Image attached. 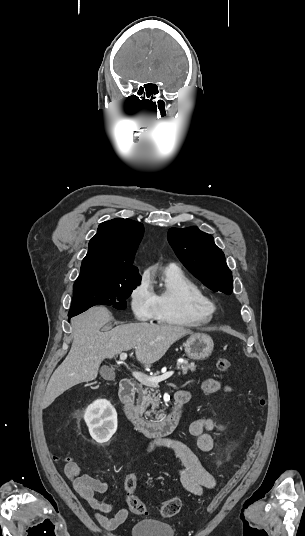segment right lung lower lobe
Wrapping results in <instances>:
<instances>
[{"label":"right lung lower lobe","mask_w":305,"mask_h":536,"mask_svg":"<svg viewBox=\"0 0 305 536\" xmlns=\"http://www.w3.org/2000/svg\"><path fill=\"white\" fill-rule=\"evenodd\" d=\"M75 315H76V314H70V313H69V314H68L69 319H70L71 317L75 316ZM77 315H78V314H77Z\"/></svg>","instance_id":"1"}]
</instances>
